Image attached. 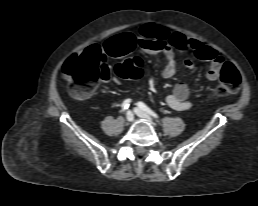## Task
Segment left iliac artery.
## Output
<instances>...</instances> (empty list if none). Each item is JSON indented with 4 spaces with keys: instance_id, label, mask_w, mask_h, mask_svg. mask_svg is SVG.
Returning <instances> with one entry per match:
<instances>
[{
    "instance_id": "obj_1",
    "label": "left iliac artery",
    "mask_w": 258,
    "mask_h": 206,
    "mask_svg": "<svg viewBox=\"0 0 258 206\" xmlns=\"http://www.w3.org/2000/svg\"><path fill=\"white\" fill-rule=\"evenodd\" d=\"M137 105L140 109H142L143 111H145L146 113H148L152 117L158 119V115L154 111H152L146 104H144L143 102H138Z\"/></svg>"
}]
</instances>
